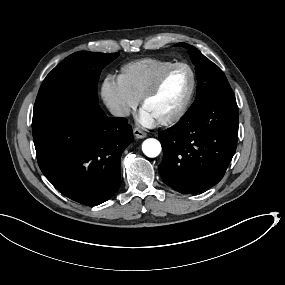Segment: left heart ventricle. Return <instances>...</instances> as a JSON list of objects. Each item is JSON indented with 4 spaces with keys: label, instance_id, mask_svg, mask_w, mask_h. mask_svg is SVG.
I'll list each match as a JSON object with an SVG mask.
<instances>
[{
    "label": "left heart ventricle",
    "instance_id": "b2bd125f",
    "mask_svg": "<svg viewBox=\"0 0 285 285\" xmlns=\"http://www.w3.org/2000/svg\"><path fill=\"white\" fill-rule=\"evenodd\" d=\"M190 82L184 73L172 75L161 90L152 96L143 106L158 120L176 112L184 103Z\"/></svg>",
    "mask_w": 285,
    "mask_h": 285
}]
</instances>
